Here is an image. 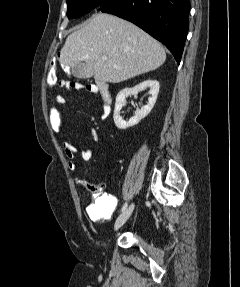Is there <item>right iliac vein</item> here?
<instances>
[{"mask_svg": "<svg viewBox=\"0 0 240 287\" xmlns=\"http://www.w3.org/2000/svg\"><path fill=\"white\" fill-rule=\"evenodd\" d=\"M134 209V204H131L116 220L114 230L120 229L125 222L129 219Z\"/></svg>", "mask_w": 240, "mask_h": 287, "instance_id": "obj_1", "label": "right iliac vein"}]
</instances>
